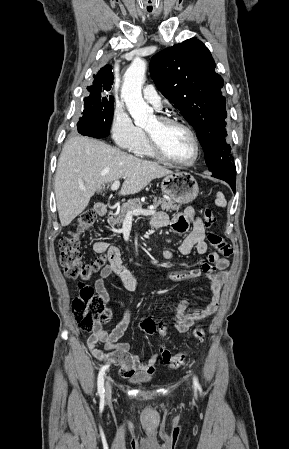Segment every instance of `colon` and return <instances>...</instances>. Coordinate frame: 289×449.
<instances>
[{
	"instance_id": "5ec220e1",
	"label": "colon",
	"mask_w": 289,
	"mask_h": 449,
	"mask_svg": "<svg viewBox=\"0 0 289 449\" xmlns=\"http://www.w3.org/2000/svg\"><path fill=\"white\" fill-rule=\"evenodd\" d=\"M95 218L96 214L92 210L82 212L74 221L72 231L61 238L59 243L60 262L65 274L69 278L80 281L79 293L72 302V312L79 327L88 332L94 329L97 322L102 318L105 312V305L104 300L95 293L91 286L86 285L85 281L99 273L106 266L108 258L105 255H100L91 262L83 261L79 250L78 237L91 228ZM215 222L216 216L209 208H206L204 210V225L209 228ZM207 238L209 243L223 257H228L232 254L231 246L219 234L210 232ZM140 328L148 335L157 333L162 338L168 332L165 325H156L151 318L144 319L140 323ZM193 336L197 340H202L205 337L204 329H194ZM159 353L163 363L171 368L179 367L186 357L185 352L173 354L164 345L160 348Z\"/></svg>"
}]
</instances>
